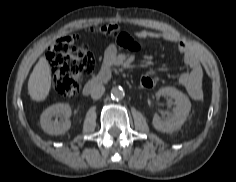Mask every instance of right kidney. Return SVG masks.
<instances>
[{"label":"right kidney","mask_w":236,"mask_h":182,"mask_svg":"<svg viewBox=\"0 0 236 182\" xmlns=\"http://www.w3.org/2000/svg\"><path fill=\"white\" fill-rule=\"evenodd\" d=\"M71 108L68 104L58 103L48 107L40 117V125L44 132L50 135L66 133L71 126L69 120ZM60 116L61 120L52 121V117Z\"/></svg>","instance_id":"right-kidney-1"}]
</instances>
